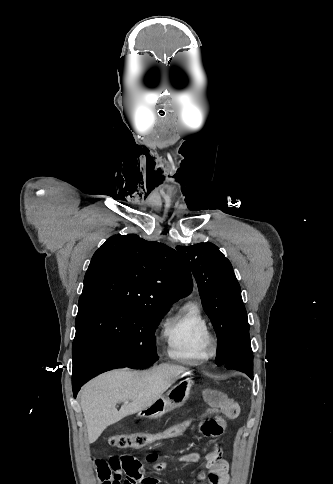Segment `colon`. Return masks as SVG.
<instances>
[{
	"label": "colon",
	"mask_w": 333,
	"mask_h": 484,
	"mask_svg": "<svg viewBox=\"0 0 333 484\" xmlns=\"http://www.w3.org/2000/svg\"><path fill=\"white\" fill-rule=\"evenodd\" d=\"M214 413V409L210 408L202 414L186 417L174 424L168 426L158 433H133L113 435L109 438V443L112 446L119 448L142 447L157 441L173 440L185 435L192 429L197 427L200 423L206 421L210 415ZM98 481L100 484H112L109 470L95 461Z\"/></svg>",
	"instance_id": "obj_1"
}]
</instances>
